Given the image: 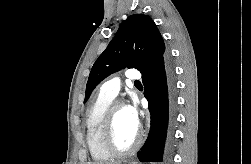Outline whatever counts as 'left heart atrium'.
Masks as SVG:
<instances>
[{
  "instance_id": "left-heart-atrium-1",
  "label": "left heart atrium",
  "mask_w": 251,
  "mask_h": 164,
  "mask_svg": "<svg viewBox=\"0 0 251 164\" xmlns=\"http://www.w3.org/2000/svg\"><path fill=\"white\" fill-rule=\"evenodd\" d=\"M127 117L130 123L135 127L138 128L139 124V114L138 109L134 103L125 106Z\"/></svg>"
}]
</instances>
